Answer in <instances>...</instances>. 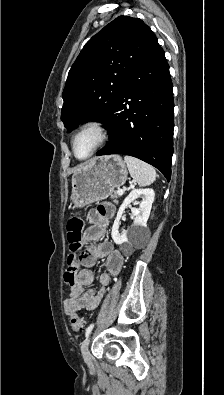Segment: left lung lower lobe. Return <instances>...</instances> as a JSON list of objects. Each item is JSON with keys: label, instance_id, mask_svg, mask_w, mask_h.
<instances>
[{"label": "left lung lower lobe", "instance_id": "obj_1", "mask_svg": "<svg viewBox=\"0 0 224 395\" xmlns=\"http://www.w3.org/2000/svg\"><path fill=\"white\" fill-rule=\"evenodd\" d=\"M164 54L157 42L132 72L106 124L109 142L98 156H134L159 169L169 181L174 103Z\"/></svg>", "mask_w": 224, "mask_h": 395}]
</instances>
